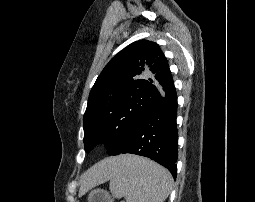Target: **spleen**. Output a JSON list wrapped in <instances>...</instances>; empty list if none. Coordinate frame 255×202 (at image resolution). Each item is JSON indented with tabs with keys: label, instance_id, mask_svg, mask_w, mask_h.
Wrapping results in <instances>:
<instances>
[{
	"label": "spleen",
	"instance_id": "3e777b00",
	"mask_svg": "<svg viewBox=\"0 0 255 202\" xmlns=\"http://www.w3.org/2000/svg\"><path fill=\"white\" fill-rule=\"evenodd\" d=\"M109 189L115 198L127 202H164L173 179L169 171L157 163L138 156L126 155L110 172Z\"/></svg>",
	"mask_w": 255,
	"mask_h": 202
}]
</instances>
